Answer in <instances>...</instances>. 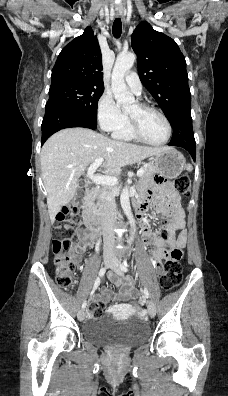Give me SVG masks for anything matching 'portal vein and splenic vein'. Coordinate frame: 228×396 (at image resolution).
I'll list each match as a JSON object with an SVG mask.
<instances>
[{
	"label": "portal vein and splenic vein",
	"mask_w": 228,
	"mask_h": 396,
	"mask_svg": "<svg viewBox=\"0 0 228 396\" xmlns=\"http://www.w3.org/2000/svg\"><path fill=\"white\" fill-rule=\"evenodd\" d=\"M104 159L103 158H98L95 160V162L90 165L87 171V176L96 184L98 185H106V186H115L118 182L116 177L112 176H98L95 175L96 169L103 163ZM144 173L143 168H140L137 171V176L140 177Z\"/></svg>",
	"instance_id": "obj_1"
}]
</instances>
